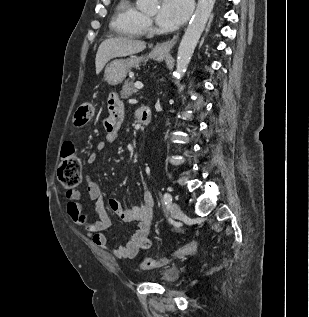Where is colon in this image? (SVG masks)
Returning a JSON list of instances; mask_svg holds the SVG:
<instances>
[{
	"mask_svg": "<svg viewBox=\"0 0 309 317\" xmlns=\"http://www.w3.org/2000/svg\"><path fill=\"white\" fill-rule=\"evenodd\" d=\"M94 113V106L92 103L86 102L82 104L76 114L75 121L76 125L83 126L88 123ZM61 162L58 167L57 175L60 183L67 189H73L77 187L82 177V165L80 158L75 154L74 146L71 142H65L61 152ZM142 246L147 247L149 242L144 240L141 243ZM198 244L196 241L191 242L184 247L181 252H192L197 248ZM155 259V258H154ZM154 259H147L144 261L146 267H153L161 264H156Z\"/></svg>",
	"mask_w": 309,
	"mask_h": 317,
	"instance_id": "1",
	"label": "colon"
}]
</instances>
